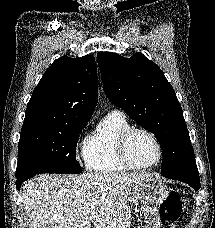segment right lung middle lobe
<instances>
[{"label":"right lung middle lobe","instance_id":"dd1d6c3e","mask_svg":"<svg viewBox=\"0 0 215 228\" xmlns=\"http://www.w3.org/2000/svg\"><path fill=\"white\" fill-rule=\"evenodd\" d=\"M86 124L63 123L22 130L16 177L41 173H81L75 154L79 134Z\"/></svg>","mask_w":215,"mask_h":228}]
</instances>
